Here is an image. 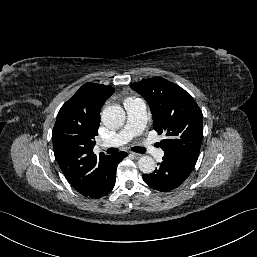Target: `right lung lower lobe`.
<instances>
[{"instance_id":"obj_1","label":"right lung lower lobe","mask_w":257,"mask_h":257,"mask_svg":"<svg viewBox=\"0 0 257 257\" xmlns=\"http://www.w3.org/2000/svg\"><path fill=\"white\" fill-rule=\"evenodd\" d=\"M127 155L128 154L123 151L114 155H109L102 164L97 182L94 184L93 188L82 195L90 198H100L108 194L115 185L117 165Z\"/></svg>"}]
</instances>
